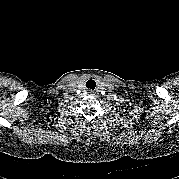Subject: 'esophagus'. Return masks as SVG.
I'll return each instance as SVG.
<instances>
[{
    "instance_id": "34e87169",
    "label": "esophagus",
    "mask_w": 179,
    "mask_h": 179,
    "mask_svg": "<svg viewBox=\"0 0 179 179\" xmlns=\"http://www.w3.org/2000/svg\"><path fill=\"white\" fill-rule=\"evenodd\" d=\"M88 93L89 94H93L94 92L92 90H88Z\"/></svg>"
}]
</instances>
